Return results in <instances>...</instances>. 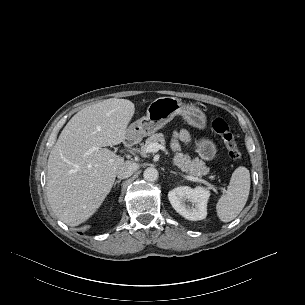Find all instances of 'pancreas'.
<instances>
[{
  "label": "pancreas",
  "mask_w": 305,
  "mask_h": 305,
  "mask_svg": "<svg viewBox=\"0 0 305 305\" xmlns=\"http://www.w3.org/2000/svg\"><path fill=\"white\" fill-rule=\"evenodd\" d=\"M164 143V135L162 133H155L146 139L145 144L141 147V154L146 156V148L152 143ZM173 163L181 169V171L188 173L189 176L201 177L209 172V168L205 163L198 158L191 160L188 154L177 152L173 158Z\"/></svg>",
  "instance_id": "1"
}]
</instances>
